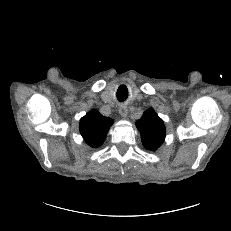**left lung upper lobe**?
Segmentation results:
<instances>
[{"label": "left lung upper lobe", "instance_id": "1", "mask_svg": "<svg viewBox=\"0 0 231 231\" xmlns=\"http://www.w3.org/2000/svg\"><path fill=\"white\" fill-rule=\"evenodd\" d=\"M136 126L147 150L155 151L164 142L165 126L163 120L155 113L153 108L143 113L142 117L136 122Z\"/></svg>", "mask_w": 231, "mask_h": 231}]
</instances>
